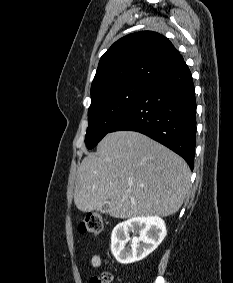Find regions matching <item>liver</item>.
Instances as JSON below:
<instances>
[{
	"label": "liver",
	"mask_w": 233,
	"mask_h": 283,
	"mask_svg": "<svg viewBox=\"0 0 233 283\" xmlns=\"http://www.w3.org/2000/svg\"><path fill=\"white\" fill-rule=\"evenodd\" d=\"M185 160L135 131L108 133L77 171L74 202L82 212L102 209L115 218L175 214L190 188Z\"/></svg>",
	"instance_id": "liver-1"
}]
</instances>
